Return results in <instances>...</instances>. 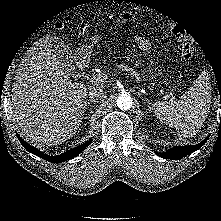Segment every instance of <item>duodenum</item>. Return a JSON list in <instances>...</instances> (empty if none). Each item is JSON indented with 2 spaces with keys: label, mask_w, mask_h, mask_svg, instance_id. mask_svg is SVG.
Returning a JSON list of instances; mask_svg holds the SVG:
<instances>
[{
  "label": "duodenum",
  "mask_w": 221,
  "mask_h": 221,
  "mask_svg": "<svg viewBox=\"0 0 221 221\" xmlns=\"http://www.w3.org/2000/svg\"><path fill=\"white\" fill-rule=\"evenodd\" d=\"M79 62L82 60L81 57H78Z\"/></svg>",
  "instance_id": "duodenum-1"
}]
</instances>
